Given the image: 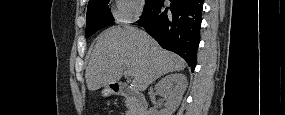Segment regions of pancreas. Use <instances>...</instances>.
<instances>
[{
    "label": "pancreas",
    "mask_w": 285,
    "mask_h": 115,
    "mask_svg": "<svg viewBox=\"0 0 285 115\" xmlns=\"http://www.w3.org/2000/svg\"><path fill=\"white\" fill-rule=\"evenodd\" d=\"M125 103H126V107H127V108H129V109L132 108L131 99H130V98H127L126 101H125Z\"/></svg>",
    "instance_id": "obj_1"
}]
</instances>
